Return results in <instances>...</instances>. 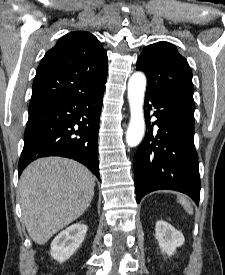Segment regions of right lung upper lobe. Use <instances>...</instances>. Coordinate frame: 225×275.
<instances>
[{
    "mask_svg": "<svg viewBox=\"0 0 225 275\" xmlns=\"http://www.w3.org/2000/svg\"><path fill=\"white\" fill-rule=\"evenodd\" d=\"M107 77V54L89 32L61 37L41 60L29 107L96 91Z\"/></svg>",
    "mask_w": 225,
    "mask_h": 275,
    "instance_id": "obj_1",
    "label": "right lung upper lobe"
}]
</instances>
